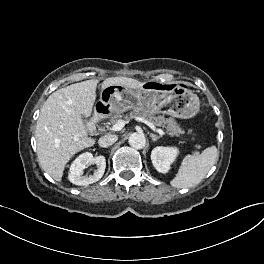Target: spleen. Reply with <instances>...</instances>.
<instances>
[{"label":"spleen","instance_id":"3e777b00","mask_svg":"<svg viewBox=\"0 0 264 264\" xmlns=\"http://www.w3.org/2000/svg\"><path fill=\"white\" fill-rule=\"evenodd\" d=\"M218 159L216 146H210L198 156L186 155L181 162L171 186L189 188L199 184Z\"/></svg>","mask_w":264,"mask_h":264}]
</instances>
